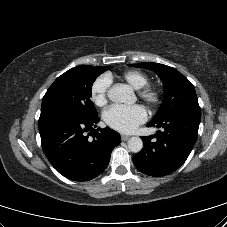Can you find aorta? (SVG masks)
<instances>
[{
  "mask_svg": "<svg viewBox=\"0 0 227 227\" xmlns=\"http://www.w3.org/2000/svg\"><path fill=\"white\" fill-rule=\"evenodd\" d=\"M107 96L113 102L125 103L131 98L132 90L127 85L116 84L108 90ZM127 144L128 149L134 153L140 152L143 148V141L139 137H131Z\"/></svg>",
  "mask_w": 227,
  "mask_h": 227,
  "instance_id": "1",
  "label": "aorta"
}]
</instances>
